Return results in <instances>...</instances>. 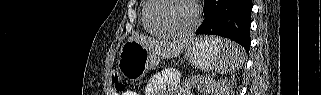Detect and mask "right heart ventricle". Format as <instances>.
Returning <instances> with one entry per match:
<instances>
[{
	"mask_svg": "<svg viewBox=\"0 0 321 95\" xmlns=\"http://www.w3.org/2000/svg\"><path fill=\"white\" fill-rule=\"evenodd\" d=\"M149 1H146L145 5H144V8H143V11H142V23H143V26L145 28V30L152 34V35H156V36H162L161 34H159L158 32L154 31L150 25L148 24L147 20H146V11H147V8L149 6Z\"/></svg>",
	"mask_w": 321,
	"mask_h": 95,
	"instance_id": "1",
	"label": "right heart ventricle"
}]
</instances>
